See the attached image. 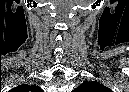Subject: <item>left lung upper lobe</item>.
I'll use <instances>...</instances> for the list:
<instances>
[{
    "label": "left lung upper lobe",
    "instance_id": "left-lung-upper-lobe-1",
    "mask_svg": "<svg viewBox=\"0 0 129 92\" xmlns=\"http://www.w3.org/2000/svg\"><path fill=\"white\" fill-rule=\"evenodd\" d=\"M76 92H111V90L98 82H84L77 89Z\"/></svg>",
    "mask_w": 129,
    "mask_h": 92
}]
</instances>
